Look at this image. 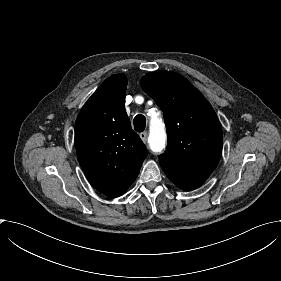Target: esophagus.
<instances>
[{"instance_id":"34e87169","label":"esophagus","mask_w":281,"mask_h":281,"mask_svg":"<svg viewBox=\"0 0 281 281\" xmlns=\"http://www.w3.org/2000/svg\"><path fill=\"white\" fill-rule=\"evenodd\" d=\"M140 138L142 139L143 142H146V140H147V133L146 132L140 133Z\"/></svg>"}]
</instances>
